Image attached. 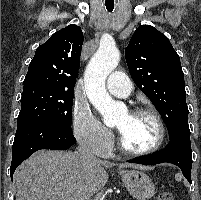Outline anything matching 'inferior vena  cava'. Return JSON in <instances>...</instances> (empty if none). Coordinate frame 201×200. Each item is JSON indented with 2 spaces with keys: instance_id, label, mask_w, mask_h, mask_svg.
Masks as SVG:
<instances>
[{
  "instance_id": "obj_1",
  "label": "inferior vena cava",
  "mask_w": 201,
  "mask_h": 200,
  "mask_svg": "<svg viewBox=\"0 0 201 200\" xmlns=\"http://www.w3.org/2000/svg\"><path fill=\"white\" fill-rule=\"evenodd\" d=\"M77 149H78L80 159L87 160V161L97 160L85 145H79ZM82 200H91V199L90 197L85 196L82 198Z\"/></svg>"
}]
</instances>
